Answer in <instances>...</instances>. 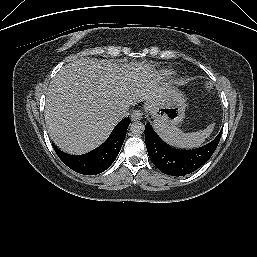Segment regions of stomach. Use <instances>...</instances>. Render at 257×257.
<instances>
[{"instance_id": "obj_1", "label": "stomach", "mask_w": 257, "mask_h": 257, "mask_svg": "<svg viewBox=\"0 0 257 257\" xmlns=\"http://www.w3.org/2000/svg\"><path fill=\"white\" fill-rule=\"evenodd\" d=\"M186 99L178 89L166 86L163 97L149 112L154 124L160 127L175 126L184 119Z\"/></svg>"}]
</instances>
